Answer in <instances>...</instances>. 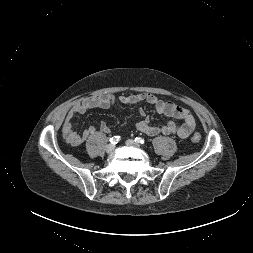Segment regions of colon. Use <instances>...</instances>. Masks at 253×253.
I'll list each match as a JSON object with an SVG mask.
<instances>
[{"label": "colon", "instance_id": "colon-1", "mask_svg": "<svg viewBox=\"0 0 253 253\" xmlns=\"http://www.w3.org/2000/svg\"><path fill=\"white\" fill-rule=\"evenodd\" d=\"M192 142L197 143L201 140V135L199 133H195L192 137H191Z\"/></svg>", "mask_w": 253, "mask_h": 253}]
</instances>
